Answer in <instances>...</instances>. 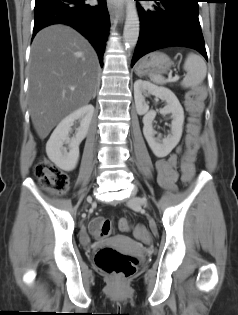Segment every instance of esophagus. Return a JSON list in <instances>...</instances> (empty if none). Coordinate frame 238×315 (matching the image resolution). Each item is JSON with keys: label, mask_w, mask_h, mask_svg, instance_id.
<instances>
[{"label": "esophagus", "mask_w": 238, "mask_h": 315, "mask_svg": "<svg viewBox=\"0 0 238 315\" xmlns=\"http://www.w3.org/2000/svg\"><path fill=\"white\" fill-rule=\"evenodd\" d=\"M111 18L122 21L125 16L123 0H107Z\"/></svg>", "instance_id": "1"}]
</instances>
